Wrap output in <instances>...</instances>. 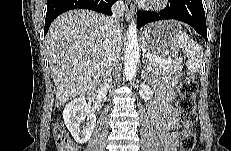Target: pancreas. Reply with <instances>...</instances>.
I'll return each mask as SVG.
<instances>
[{
    "instance_id": "pancreas-1",
    "label": "pancreas",
    "mask_w": 231,
    "mask_h": 151,
    "mask_svg": "<svg viewBox=\"0 0 231 151\" xmlns=\"http://www.w3.org/2000/svg\"><path fill=\"white\" fill-rule=\"evenodd\" d=\"M183 64L180 60L171 63H158L154 60H148V69L156 73L166 75H180L182 73Z\"/></svg>"
}]
</instances>
